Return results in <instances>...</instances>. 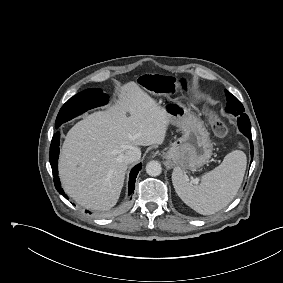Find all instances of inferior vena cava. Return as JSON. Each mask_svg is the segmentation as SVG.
<instances>
[{"label": "inferior vena cava", "instance_id": "1", "mask_svg": "<svg viewBox=\"0 0 283 283\" xmlns=\"http://www.w3.org/2000/svg\"><path fill=\"white\" fill-rule=\"evenodd\" d=\"M141 151L139 148H132L130 150H127L123 155V161L126 164H130L133 162H136L140 159Z\"/></svg>", "mask_w": 283, "mask_h": 283}]
</instances>
